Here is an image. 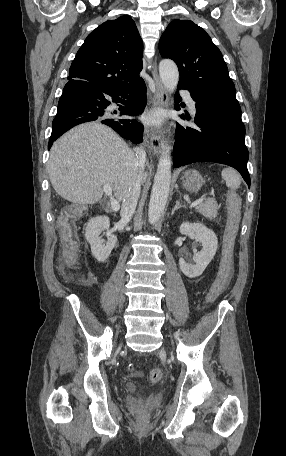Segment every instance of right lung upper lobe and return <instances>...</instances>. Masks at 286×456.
<instances>
[{
    "instance_id": "right-lung-upper-lobe-1",
    "label": "right lung upper lobe",
    "mask_w": 286,
    "mask_h": 456,
    "mask_svg": "<svg viewBox=\"0 0 286 456\" xmlns=\"http://www.w3.org/2000/svg\"><path fill=\"white\" fill-rule=\"evenodd\" d=\"M143 43L132 18L108 20L92 31L69 70L68 80L84 81L102 90H116L141 81Z\"/></svg>"
}]
</instances>
